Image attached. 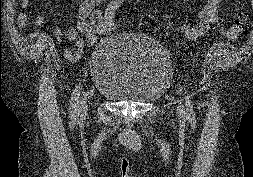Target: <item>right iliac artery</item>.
<instances>
[{"label":"right iliac artery","mask_w":253,"mask_h":177,"mask_svg":"<svg viewBox=\"0 0 253 177\" xmlns=\"http://www.w3.org/2000/svg\"><path fill=\"white\" fill-rule=\"evenodd\" d=\"M82 87L80 85L76 86L71 97L70 101V113L71 117L75 118L78 111V103H79V97L81 93Z\"/></svg>","instance_id":"82829eb1"}]
</instances>
